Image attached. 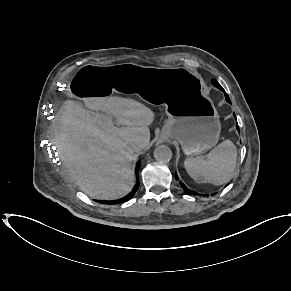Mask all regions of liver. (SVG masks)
<instances>
[{
	"mask_svg": "<svg viewBox=\"0 0 291 291\" xmlns=\"http://www.w3.org/2000/svg\"><path fill=\"white\" fill-rule=\"evenodd\" d=\"M83 101L88 109L108 113L122 127L68 100L56 115L59 157L68 176L88 196L105 200L123 197L134 184V151L130 145H137V151L148 147L154 112L128 98L107 96Z\"/></svg>",
	"mask_w": 291,
	"mask_h": 291,
	"instance_id": "1",
	"label": "liver"
}]
</instances>
